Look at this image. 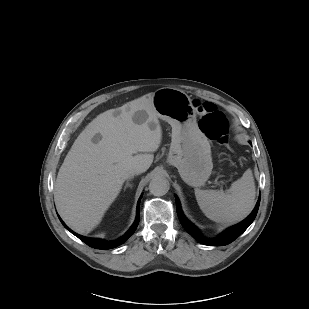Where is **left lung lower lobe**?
<instances>
[{
  "mask_svg": "<svg viewBox=\"0 0 309 309\" xmlns=\"http://www.w3.org/2000/svg\"><path fill=\"white\" fill-rule=\"evenodd\" d=\"M260 204V198L252 211V213L241 223L228 228L226 231H224L218 238L216 239H207L204 238L198 231V229L190 223L185 216L183 215L180 207V202L178 198L176 197V209H177V214L178 218L185 228V230L191 234L197 241H199L202 244L209 245V246H223L231 243L234 241L237 237H239L249 226L250 224L254 221L256 214L258 212Z\"/></svg>",
  "mask_w": 309,
  "mask_h": 309,
  "instance_id": "left-lung-lower-lobe-1",
  "label": "left lung lower lobe"
}]
</instances>
